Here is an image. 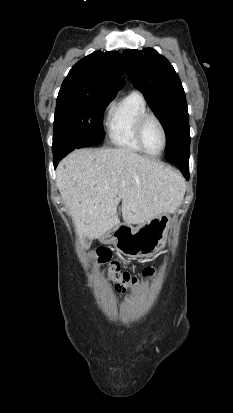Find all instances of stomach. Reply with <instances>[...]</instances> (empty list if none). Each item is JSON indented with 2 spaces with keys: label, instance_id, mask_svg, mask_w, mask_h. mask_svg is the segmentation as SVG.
<instances>
[{
  "label": "stomach",
  "instance_id": "stomach-1",
  "mask_svg": "<svg viewBox=\"0 0 233 413\" xmlns=\"http://www.w3.org/2000/svg\"><path fill=\"white\" fill-rule=\"evenodd\" d=\"M171 224V216L163 213L136 228L129 224H119L106 231L99 240L104 244H113L128 257H147L164 246Z\"/></svg>",
  "mask_w": 233,
  "mask_h": 413
}]
</instances>
